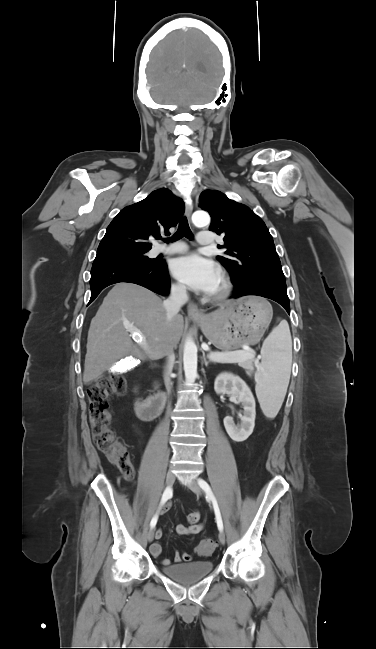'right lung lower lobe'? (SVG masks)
I'll return each instance as SVG.
<instances>
[{"label":"right lung lower lobe","mask_w":376,"mask_h":649,"mask_svg":"<svg viewBox=\"0 0 376 649\" xmlns=\"http://www.w3.org/2000/svg\"><path fill=\"white\" fill-rule=\"evenodd\" d=\"M119 282L135 283L161 295L168 294L170 290V278L164 260H155L151 264L111 262L92 267L89 304L105 287Z\"/></svg>","instance_id":"98d812e1"}]
</instances>
